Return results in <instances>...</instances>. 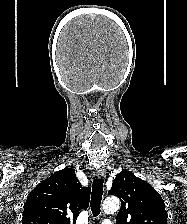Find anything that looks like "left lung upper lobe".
Instances as JSON below:
<instances>
[{
  "label": "left lung upper lobe",
  "mask_w": 187,
  "mask_h": 224,
  "mask_svg": "<svg viewBox=\"0 0 187 224\" xmlns=\"http://www.w3.org/2000/svg\"><path fill=\"white\" fill-rule=\"evenodd\" d=\"M108 194L121 199L117 224H167V212L160 194L132 172L122 170Z\"/></svg>",
  "instance_id": "obj_1"
}]
</instances>
